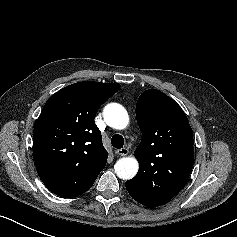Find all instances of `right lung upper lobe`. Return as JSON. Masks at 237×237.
<instances>
[{"label": "right lung upper lobe", "instance_id": "1", "mask_svg": "<svg viewBox=\"0 0 237 237\" xmlns=\"http://www.w3.org/2000/svg\"><path fill=\"white\" fill-rule=\"evenodd\" d=\"M119 87L78 82L53 94L44 105L34 127L33 154L39 177L55 194H83L105 167L108 152L94 117Z\"/></svg>", "mask_w": 237, "mask_h": 237}]
</instances>
